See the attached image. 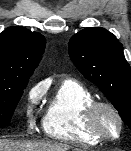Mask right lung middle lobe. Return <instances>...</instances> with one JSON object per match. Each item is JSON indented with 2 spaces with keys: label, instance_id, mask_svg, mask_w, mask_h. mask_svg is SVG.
<instances>
[{
  "label": "right lung middle lobe",
  "instance_id": "obj_1",
  "mask_svg": "<svg viewBox=\"0 0 131 151\" xmlns=\"http://www.w3.org/2000/svg\"><path fill=\"white\" fill-rule=\"evenodd\" d=\"M27 82H0V125L10 122Z\"/></svg>",
  "mask_w": 131,
  "mask_h": 151
}]
</instances>
